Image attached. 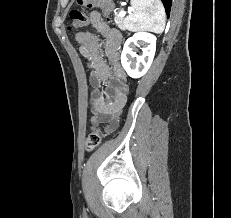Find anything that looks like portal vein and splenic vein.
Returning a JSON list of instances; mask_svg holds the SVG:
<instances>
[{
	"label": "portal vein and splenic vein",
	"mask_w": 231,
	"mask_h": 218,
	"mask_svg": "<svg viewBox=\"0 0 231 218\" xmlns=\"http://www.w3.org/2000/svg\"><path fill=\"white\" fill-rule=\"evenodd\" d=\"M128 11L130 12V11H132V9H128ZM125 14H126V11L122 10V11L119 12V15H118V16H119V17H124Z\"/></svg>",
	"instance_id": "obj_1"
}]
</instances>
